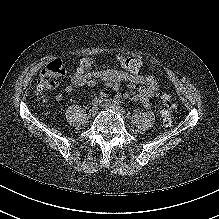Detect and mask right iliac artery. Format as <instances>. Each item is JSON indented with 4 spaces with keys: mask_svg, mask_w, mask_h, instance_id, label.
Masks as SVG:
<instances>
[{
    "mask_svg": "<svg viewBox=\"0 0 219 219\" xmlns=\"http://www.w3.org/2000/svg\"><path fill=\"white\" fill-rule=\"evenodd\" d=\"M103 101H104V100H103L102 97H96V98H94V99L92 100L91 105H92L93 107H96V106L100 105Z\"/></svg>",
    "mask_w": 219,
    "mask_h": 219,
    "instance_id": "obj_1",
    "label": "right iliac artery"
}]
</instances>
